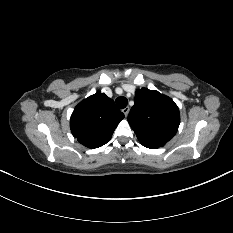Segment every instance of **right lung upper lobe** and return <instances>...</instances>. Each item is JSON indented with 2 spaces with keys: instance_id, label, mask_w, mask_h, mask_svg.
<instances>
[{
  "instance_id": "cb5924a9",
  "label": "right lung upper lobe",
  "mask_w": 233,
  "mask_h": 233,
  "mask_svg": "<svg viewBox=\"0 0 233 233\" xmlns=\"http://www.w3.org/2000/svg\"><path fill=\"white\" fill-rule=\"evenodd\" d=\"M124 118L114 101L98 91L80 102L74 109L70 128L78 142L88 148H98L110 141Z\"/></svg>"
}]
</instances>
